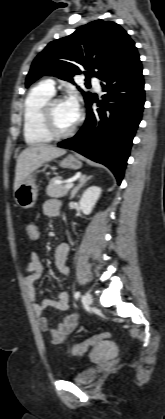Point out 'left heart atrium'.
Segmentation results:
<instances>
[{
	"label": "left heart atrium",
	"mask_w": 165,
	"mask_h": 419,
	"mask_svg": "<svg viewBox=\"0 0 165 419\" xmlns=\"http://www.w3.org/2000/svg\"><path fill=\"white\" fill-rule=\"evenodd\" d=\"M65 103L70 115L75 121H77L81 114L80 98L77 95H71L69 98H67Z\"/></svg>",
	"instance_id": "obj_1"
}]
</instances>
